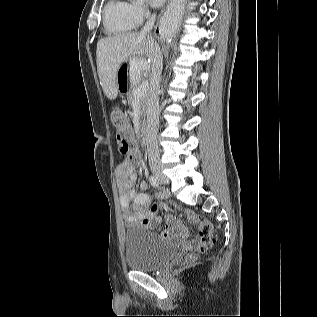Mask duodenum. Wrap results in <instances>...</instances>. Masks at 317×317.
I'll return each instance as SVG.
<instances>
[{
	"instance_id": "410a0bca",
	"label": "duodenum",
	"mask_w": 317,
	"mask_h": 317,
	"mask_svg": "<svg viewBox=\"0 0 317 317\" xmlns=\"http://www.w3.org/2000/svg\"><path fill=\"white\" fill-rule=\"evenodd\" d=\"M140 137L144 141H147L148 139V128L146 124H143L140 127Z\"/></svg>"
}]
</instances>
